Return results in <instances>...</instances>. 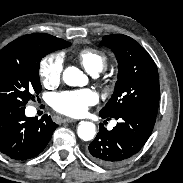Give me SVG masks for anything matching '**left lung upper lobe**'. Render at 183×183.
<instances>
[{"label": "left lung upper lobe", "instance_id": "left-lung-upper-lobe-1", "mask_svg": "<svg viewBox=\"0 0 183 183\" xmlns=\"http://www.w3.org/2000/svg\"><path fill=\"white\" fill-rule=\"evenodd\" d=\"M101 44L110 48L116 56L118 79L111 99L99 114L113 117L125 111H142L157 115L159 76L148 52L123 34L105 36Z\"/></svg>", "mask_w": 183, "mask_h": 183}]
</instances>
